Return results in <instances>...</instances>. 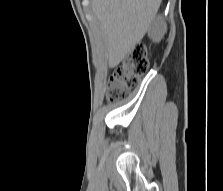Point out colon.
Wrapping results in <instances>:
<instances>
[{"label": "colon", "instance_id": "obj_1", "mask_svg": "<svg viewBox=\"0 0 223 191\" xmlns=\"http://www.w3.org/2000/svg\"><path fill=\"white\" fill-rule=\"evenodd\" d=\"M149 69V58L143 46H136L112 72L108 86L107 99L110 102L124 98Z\"/></svg>", "mask_w": 223, "mask_h": 191}]
</instances>
